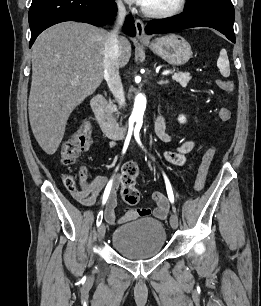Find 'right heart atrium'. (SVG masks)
<instances>
[{"label":"right heart atrium","instance_id":"1","mask_svg":"<svg viewBox=\"0 0 261 306\" xmlns=\"http://www.w3.org/2000/svg\"><path fill=\"white\" fill-rule=\"evenodd\" d=\"M116 5H117V7H118L119 9H123V8H124V5H123V3H122L121 0H116Z\"/></svg>","mask_w":261,"mask_h":306}]
</instances>
